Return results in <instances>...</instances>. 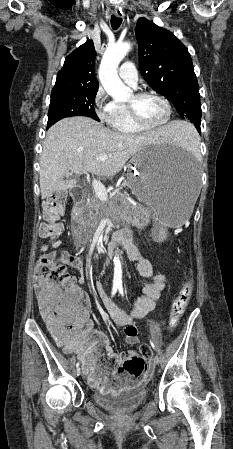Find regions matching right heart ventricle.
Wrapping results in <instances>:
<instances>
[{
	"label": "right heart ventricle",
	"mask_w": 233,
	"mask_h": 449,
	"mask_svg": "<svg viewBox=\"0 0 233 449\" xmlns=\"http://www.w3.org/2000/svg\"><path fill=\"white\" fill-rule=\"evenodd\" d=\"M108 122L112 129L122 134L134 135L144 131L131 120L125 104L120 102H114V111Z\"/></svg>",
	"instance_id": "right-heart-ventricle-1"
}]
</instances>
